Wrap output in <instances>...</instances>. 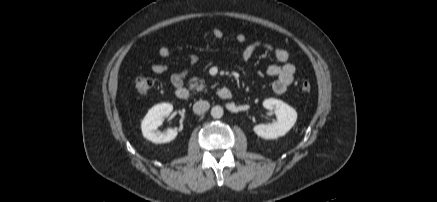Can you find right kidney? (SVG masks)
<instances>
[{
	"instance_id": "1",
	"label": "right kidney",
	"mask_w": 437,
	"mask_h": 202,
	"mask_svg": "<svg viewBox=\"0 0 437 202\" xmlns=\"http://www.w3.org/2000/svg\"><path fill=\"white\" fill-rule=\"evenodd\" d=\"M173 106L169 103H161L153 106L141 123L142 134L147 140L160 144L174 140L178 134L176 129L169 128L165 132L157 130L162 125L165 116L169 115Z\"/></svg>"
}]
</instances>
